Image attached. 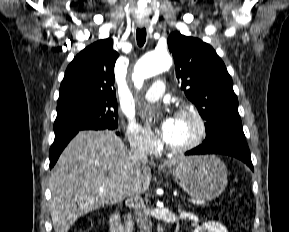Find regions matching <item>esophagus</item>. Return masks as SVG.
<instances>
[{
  "label": "esophagus",
  "mask_w": 289,
  "mask_h": 232,
  "mask_svg": "<svg viewBox=\"0 0 289 232\" xmlns=\"http://www.w3.org/2000/svg\"><path fill=\"white\" fill-rule=\"evenodd\" d=\"M138 26L142 28V27H144V24L141 23V24H139Z\"/></svg>",
  "instance_id": "obj_1"
}]
</instances>
